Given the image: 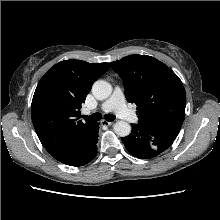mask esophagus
<instances>
[{
  "label": "esophagus",
  "instance_id": "1",
  "mask_svg": "<svg viewBox=\"0 0 220 220\" xmlns=\"http://www.w3.org/2000/svg\"><path fill=\"white\" fill-rule=\"evenodd\" d=\"M102 123H103L104 125H107V126H110V125L114 124L113 121L109 122V121H106V120L102 121Z\"/></svg>",
  "mask_w": 220,
  "mask_h": 220
}]
</instances>
